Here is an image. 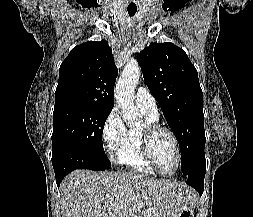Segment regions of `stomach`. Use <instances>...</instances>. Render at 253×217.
Here are the masks:
<instances>
[{
  "instance_id": "1",
  "label": "stomach",
  "mask_w": 253,
  "mask_h": 217,
  "mask_svg": "<svg viewBox=\"0 0 253 217\" xmlns=\"http://www.w3.org/2000/svg\"><path fill=\"white\" fill-rule=\"evenodd\" d=\"M174 217H195L194 206L192 203H181Z\"/></svg>"
}]
</instances>
